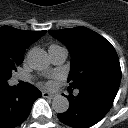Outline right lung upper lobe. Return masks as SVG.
Returning <instances> with one entry per match:
<instances>
[{
	"instance_id": "obj_1",
	"label": "right lung upper lobe",
	"mask_w": 128,
	"mask_h": 128,
	"mask_svg": "<svg viewBox=\"0 0 128 128\" xmlns=\"http://www.w3.org/2000/svg\"><path fill=\"white\" fill-rule=\"evenodd\" d=\"M45 32L19 30L11 26L0 27V56L22 62L25 50Z\"/></svg>"
}]
</instances>
